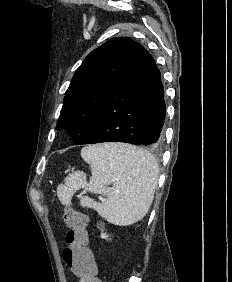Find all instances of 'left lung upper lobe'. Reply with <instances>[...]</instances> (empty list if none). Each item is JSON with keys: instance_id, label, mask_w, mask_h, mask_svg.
<instances>
[{"instance_id": "obj_1", "label": "left lung upper lobe", "mask_w": 232, "mask_h": 282, "mask_svg": "<svg viewBox=\"0 0 232 282\" xmlns=\"http://www.w3.org/2000/svg\"><path fill=\"white\" fill-rule=\"evenodd\" d=\"M144 50L128 37L112 38L93 50L65 92L57 130L66 129L74 143L85 140L95 127L102 106L121 88Z\"/></svg>"}]
</instances>
